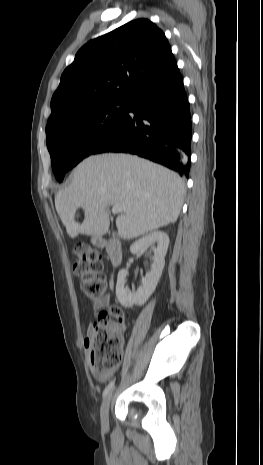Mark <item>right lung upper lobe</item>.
<instances>
[{
    "instance_id": "cb5924a9",
    "label": "right lung upper lobe",
    "mask_w": 263,
    "mask_h": 465,
    "mask_svg": "<svg viewBox=\"0 0 263 465\" xmlns=\"http://www.w3.org/2000/svg\"><path fill=\"white\" fill-rule=\"evenodd\" d=\"M176 66L161 29L148 19L130 21L77 52L52 97L48 123L98 101L129 99Z\"/></svg>"
}]
</instances>
